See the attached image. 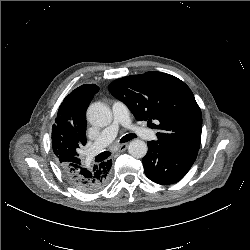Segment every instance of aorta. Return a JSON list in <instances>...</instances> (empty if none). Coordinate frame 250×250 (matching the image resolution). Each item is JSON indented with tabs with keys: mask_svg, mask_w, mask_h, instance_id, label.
Masks as SVG:
<instances>
[{
	"mask_svg": "<svg viewBox=\"0 0 250 250\" xmlns=\"http://www.w3.org/2000/svg\"><path fill=\"white\" fill-rule=\"evenodd\" d=\"M90 124L96 127H106L112 122V112L104 104L94 103L87 110ZM147 144L139 139L130 142L128 152L134 158H143L147 154Z\"/></svg>",
	"mask_w": 250,
	"mask_h": 250,
	"instance_id": "obj_1",
	"label": "aorta"
}]
</instances>
